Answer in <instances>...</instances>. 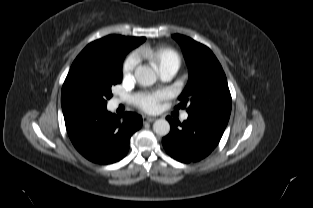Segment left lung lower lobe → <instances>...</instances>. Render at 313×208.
Listing matches in <instances>:
<instances>
[{"mask_svg": "<svg viewBox=\"0 0 313 208\" xmlns=\"http://www.w3.org/2000/svg\"><path fill=\"white\" fill-rule=\"evenodd\" d=\"M170 133L162 139L167 153L174 159L190 163L196 162L211 153L218 145L228 120L209 115H188L182 124L171 117Z\"/></svg>", "mask_w": 313, "mask_h": 208, "instance_id": "obj_1", "label": "left lung lower lobe"}]
</instances>
